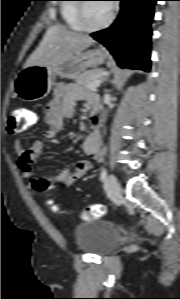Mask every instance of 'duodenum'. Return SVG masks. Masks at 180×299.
<instances>
[{"label": "duodenum", "mask_w": 180, "mask_h": 299, "mask_svg": "<svg viewBox=\"0 0 180 299\" xmlns=\"http://www.w3.org/2000/svg\"><path fill=\"white\" fill-rule=\"evenodd\" d=\"M102 113L101 112H95L91 117V127L93 129H98L100 127L101 121H102Z\"/></svg>", "instance_id": "410a0bca"}]
</instances>
